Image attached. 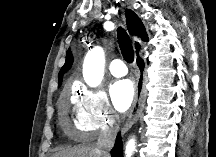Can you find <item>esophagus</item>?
I'll use <instances>...</instances> for the list:
<instances>
[{"label":"esophagus","instance_id":"1","mask_svg":"<svg viewBox=\"0 0 216 157\" xmlns=\"http://www.w3.org/2000/svg\"><path fill=\"white\" fill-rule=\"evenodd\" d=\"M134 47L136 51V66L138 69L139 77L141 75L144 76L145 73V65L142 63V51L141 47L138 48V45L140 46L138 40L134 38ZM144 61V60H143ZM145 98H144V84L141 82H138L135 90V97H134V102L130 111V114L125 122V124L122 127L121 132L125 133L128 131V129L133 125V123L136 121V119L139 116V113L144 105Z\"/></svg>","mask_w":216,"mask_h":157}]
</instances>
